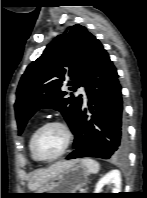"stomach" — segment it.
<instances>
[{
  "mask_svg": "<svg viewBox=\"0 0 147 198\" xmlns=\"http://www.w3.org/2000/svg\"><path fill=\"white\" fill-rule=\"evenodd\" d=\"M89 174V170L83 164H74L32 193H35L37 198L63 197V194L48 193H75L87 184Z\"/></svg>",
  "mask_w": 147,
  "mask_h": 198,
  "instance_id": "0dacf381",
  "label": "stomach"
}]
</instances>
